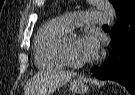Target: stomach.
<instances>
[{
    "instance_id": "1",
    "label": "stomach",
    "mask_w": 135,
    "mask_h": 95,
    "mask_svg": "<svg viewBox=\"0 0 135 95\" xmlns=\"http://www.w3.org/2000/svg\"><path fill=\"white\" fill-rule=\"evenodd\" d=\"M70 91L74 94L83 95L88 91V84L83 78L74 79L70 83Z\"/></svg>"
}]
</instances>
